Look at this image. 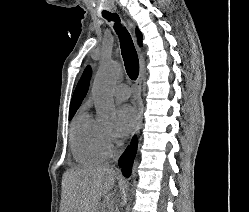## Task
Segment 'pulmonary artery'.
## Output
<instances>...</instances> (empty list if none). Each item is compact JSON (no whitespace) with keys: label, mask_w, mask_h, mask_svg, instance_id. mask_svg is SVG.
<instances>
[{"label":"pulmonary artery","mask_w":249,"mask_h":212,"mask_svg":"<svg viewBox=\"0 0 249 212\" xmlns=\"http://www.w3.org/2000/svg\"><path fill=\"white\" fill-rule=\"evenodd\" d=\"M98 56L99 54H94ZM131 94V90L127 84L120 83L114 87V96L121 100H126Z\"/></svg>","instance_id":"obj_1"}]
</instances>
